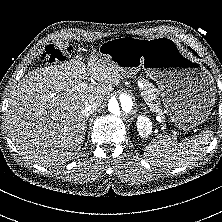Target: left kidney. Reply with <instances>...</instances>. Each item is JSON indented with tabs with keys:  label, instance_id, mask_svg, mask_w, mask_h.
I'll list each match as a JSON object with an SVG mask.
<instances>
[{
	"label": "left kidney",
	"instance_id": "obj_1",
	"mask_svg": "<svg viewBox=\"0 0 222 222\" xmlns=\"http://www.w3.org/2000/svg\"><path fill=\"white\" fill-rule=\"evenodd\" d=\"M137 130L142 138H147L152 132V122L148 117L139 116L137 118Z\"/></svg>",
	"mask_w": 222,
	"mask_h": 222
}]
</instances>
